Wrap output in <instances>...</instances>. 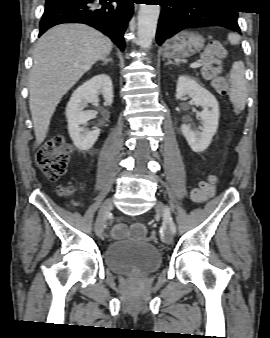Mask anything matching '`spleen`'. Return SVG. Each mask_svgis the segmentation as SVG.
<instances>
[{"label":"spleen","mask_w":270,"mask_h":338,"mask_svg":"<svg viewBox=\"0 0 270 338\" xmlns=\"http://www.w3.org/2000/svg\"><path fill=\"white\" fill-rule=\"evenodd\" d=\"M230 101L239 109H244L247 97L245 68L241 61H235L229 73Z\"/></svg>","instance_id":"spleen-1"}]
</instances>
